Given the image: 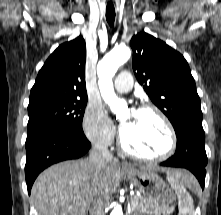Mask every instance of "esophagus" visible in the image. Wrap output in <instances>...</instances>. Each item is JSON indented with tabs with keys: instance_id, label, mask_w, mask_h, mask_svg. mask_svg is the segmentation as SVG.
<instances>
[{
	"instance_id": "esophagus-1",
	"label": "esophagus",
	"mask_w": 221,
	"mask_h": 215,
	"mask_svg": "<svg viewBox=\"0 0 221 215\" xmlns=\"http://www.w3.org/2000/svg\"><path fill=\"white\" fill-rule=\"evenodd\" d=\"M120 165H121V167L124 168V169H131V166H130L127 162H125V161H122V162L120 163Z\"/></svg>"
}]
</instances>
